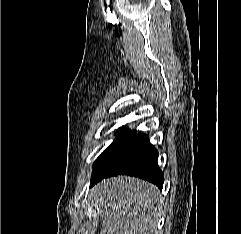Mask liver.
I'll return each mask as SVG.
<instances>
[{
    "label": "liver",
    "instance_id": "liver-1",
    "mask_svg": "<svg viewBox=\"0 0 241 234\" xmlns=\"http://www.w3.org/2000/svg\"><path fill=\"white\" fill-rule=\"evenodd\" d=\"M101 216L100 234H153L162 197L153 184L138 178L104 179L90 191Z\"/></svg>",
    "mask_w": 241,
    "mask_h": 234
}]
</instances>
